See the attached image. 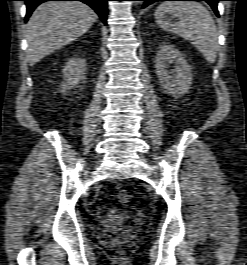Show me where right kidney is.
I'll return each mask as SVG.
<instances>
[{
	"mask_svg": "<svg viewBox=\"0 0 247 265\" xmlns=\"http://www.w3.org/2000/svg\"><path fill=\"white\" fill-rule=\"evenodd\" d=\"M86 61L80 58H72L64 67L63 82L61 83V91L66 92L76 87L80 81L85 78Z\"/></svg>",
	"mask_w": 247,
	"mask_h": 265,
	"instance_id": "obj_1",
	"label": "right kidney"
}]
</instances>
